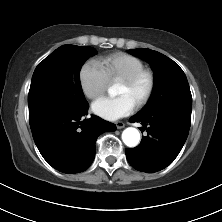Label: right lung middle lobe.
Returning <instances> with one entry per match:
<instances>
[{
    "instance_id": "right-lung-middle-lobe-1",
    "label": "right lung middle lobe",
    "mask_w": 222,
    "mask_h": 222,
    "mask_svg": "<svg viewBox=\"0 0 222 222\" xmlns=\"http://www.w3.org/2000/svg\"><path fill=\"white\" fill-rule=\"evenodd\" d=\"M93 47L63 45L35 69L28 96L29 115L42 111H77L88 106L79 72L96 54Z\"/></svg>"
}]
</instances>
